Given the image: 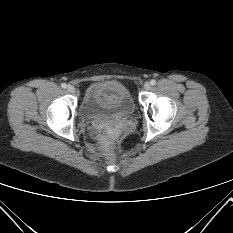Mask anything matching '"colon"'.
Wrapping results in <instances>:
<instances>
[{"label": "colon", "mask_w": 233, "mask_h": 233, "mask_svg": "<svg viewBox=\"0 0 233 233\" xmlns=\"http://www.w3.org/2000/svg\"><path fill=\"white\" fill-rule=\"evenodd\" d=\"M99 136H100L101 139L107 141L112 137V131L110 129H108V128L102 129L99 132Z\"/></svg>", "instance_id": "obj_1"}]
</instances>
